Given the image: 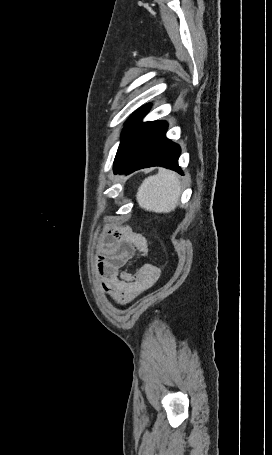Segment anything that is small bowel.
<instances>
[{"label":"small bowel","instance_id":"1","mask_svg":"<svg viewBox=\"0 0 272 455\" xmlns=\"http://www.w3.org/2000/svg\"><path fill=\"white\" fill-rule=\"evenodd\" d=\"M147 240L128 228L114 229L106 238L98 259V272L104 289L123 305L152 287L160 277L157 266L146 263L134 274L123 269L135 252L148 254Z\"/></svg>","mask_w":272,"mask_h":455}]
</instances>
